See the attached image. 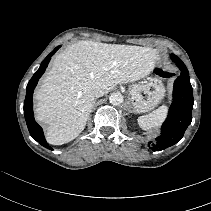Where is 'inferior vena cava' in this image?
<instances>
[{"label": "inferior vena cava", "instance_id": "1", "mask_svg": "<svg viewBox=\"0 0 211 211\" xmlns=\"http://www.w3.org/2000/svg\"><path fill=\"white\" fill-rule=\"evenodd\" d=\"M95 97H101L105 94L104 90L101 88H96L93 92Z\"/></svg>", "mask_w": 211, "mask_h": 211}]
</instances>
